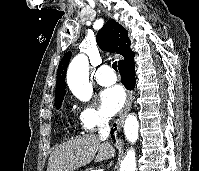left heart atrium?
Masks as SVG:
<instances>
[{
    "instance_id": "39dd6f15",
    "label": "left heart atrium",
    "mask_w": 199,
    "mask_h": 171,
    "mask_svg": "<svg viewBox=\"0 0 199 171\" xmlns=\"http://www.w3.org/2000/svg\"><path fill=\"white\" fill-rule=\"evenodd\" d=\"M125 92L120 86H112L103 90L100 94L102 111L107 116L115 115L124 105Z\"/></svg>"
}]
</instances>
